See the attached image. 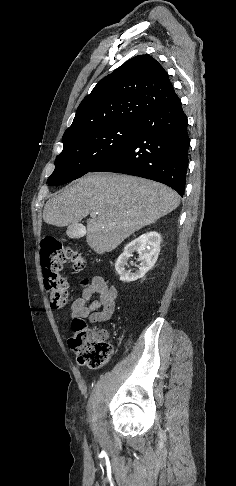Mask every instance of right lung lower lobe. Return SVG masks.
Returning <instances> with one entry per match:
<instances>
[{"label":"right lung lower lobe","instance_id":"obj_1","mask_svg":"<svg viewBox=\"0 0 236 486\" xmlns=\"http://www.w3.org/2000/svg\"><path fill=\"white\" fill-rule=\"evenodd\" d=\"M134 138L91 172H116L166 184L184 195L190 139L181 101L141 117Z\"/></svg>","mask_w":236,"mask_h":486}]
</instances>
